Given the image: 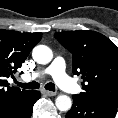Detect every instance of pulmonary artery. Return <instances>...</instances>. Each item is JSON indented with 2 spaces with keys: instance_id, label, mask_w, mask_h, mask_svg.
I'll use <instances>...</instances> for the list:
<instances>
[{
  "instance_id": "pulmonary-artery-1",
  "label": "pulmonary artery",
  "mask_w": 118,
  "mask_h": 118,
  "mask_svg": "<svg viewBox=\"0 0 118 118\" xmlns=\"http://www.w3.org/2000/svg\"><path fill=\"white\" fill-rule=\"evenodd\" d=\"M44 73L50 74L57 85L67 92H76L79 90L77 84L66 74V64L61 57H56L51 65L43 71H34L25 74L23 79L25 81H31Z\"/></svg>"
}]
</instances>
